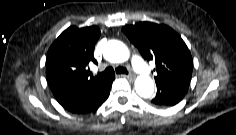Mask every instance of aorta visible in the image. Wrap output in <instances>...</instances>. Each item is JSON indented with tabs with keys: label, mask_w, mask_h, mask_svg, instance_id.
Segmentation results:
<instances>
[{
	"label": "aorta",
	"mask_w": 236,
	"mask_h": 135,
	"mask_svg": "<svg viewBox=\"0 0 236 135\" xmlns=\"http://www.w3.org/2000/svg\"><path fill=\"white\" fill-rule=\"evenodd\" d=\"M104 58L109 62L122 63L129 59L130 52L127 46L120 41H109L103 49ZM136 93L143 97L149 98L154 92V82L149 76L141 75L135 80Z\"/></svg>",
	"instance_id": "1"
}]
</instances>
